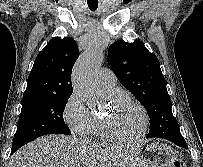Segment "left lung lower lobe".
Here are the masks:
<instances>
[{"mask_svg":"<svg viewBox=\"0 0 203 167\" xmlns=\"http://www.w3.org/2000/svg\"><path fill=\"white\" fill-rule=\"evenodd\" d=\"M164 139H167L171 142H173L174 144L180 146V147H183V148H187V144L183 138V136H178V135H168V136H165Z\"/></svg>","mask_w":203,"mask_h":167,"instance_id":"1","label":"left lung lower lobe"}]
</instances>
